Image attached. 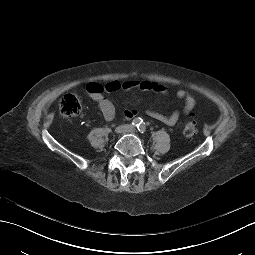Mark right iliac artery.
<instances>
[{
    "instance_id": "right-iliac-artery-1",
    "label": "right iliac artery",
    "mask_w": 255,
    "mask_h": 255,
    "mask_svg": "<svg viewBox=\"0 0 255 255\" xmlns=\"http://www.w3.org/2000/svg\"><path fill=\"white\" fill-rule=\"evenodd\" d=\"M132 126L133 127H139V125L141 124V121H140V119H138V118H136V119H134L133 121H132Z\"/></svg>"
}]
</instances>
